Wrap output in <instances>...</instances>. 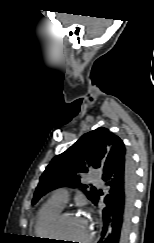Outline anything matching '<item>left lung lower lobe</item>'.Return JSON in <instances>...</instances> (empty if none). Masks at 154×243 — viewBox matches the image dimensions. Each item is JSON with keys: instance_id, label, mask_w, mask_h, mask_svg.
Listing matches in <instances>:
<instances>
[{"instance_id": "1", "label": "left lung lower lobe", "mask_w": 154, "mask_h": 243, "mask_svg": "<svg viewBox=\"0 0 154 243\" xmlns=\"http://www.w3.org/2000/svg\"><path fill=\"white\" fill-rule=\"evenodd\" d=\"M102 173L108 192L102 200L103 191L98 190L92 201L95 206L100 205L103 217V229L98 243H128L136 178L131 157L125 147L107 157Z\"/></svg>"}]
</instances>
